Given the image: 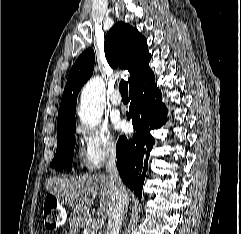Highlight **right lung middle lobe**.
I'll use <instances>...</instances> for the list:
<instances>
[{"label":"right lung middle lobe","mask_w":241,"mask_h":234,"mask_svg":"<svg viewBox=\"0 0 241 234\" xmlns=\"http://www.w3.org/2000/svg\"><path fill=\"white\" fill-rule=\"evenodd\" d=\"M76 125L57 131V150L51 167L57 170L72 169V155L75 147Z\"/></svg>","instance_id":"right-lung-middle-lobe-1"}]
</instances>
